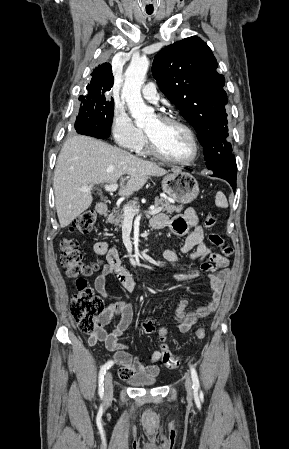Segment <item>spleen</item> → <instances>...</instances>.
Instances as JSON below:
<instances>
[{
    "label": "spleen",
    "mask_w": 289,
    "mask_h": 449,
    "mask_svg": "<svg viewBox=\"0 0 289 449\" xmlns=\"http://www.w3.org/2000/svg\"><path fill=\"white\" fill-rule=\"evenodd\" d=\"M215 204H216V206H218L220 208H227L228 207L227 199H226L225 195L222 192H217L216 199H215Z\"/></svg>",
    "instance_id": "obj_1"
}]
</instances>
